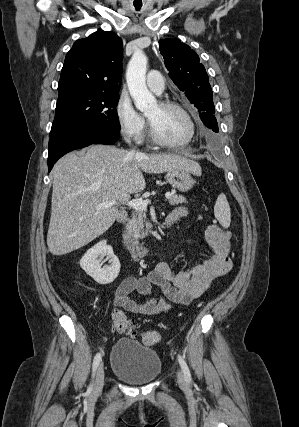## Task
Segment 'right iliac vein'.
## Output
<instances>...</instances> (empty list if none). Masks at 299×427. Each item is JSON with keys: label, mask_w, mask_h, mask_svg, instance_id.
<instances>
[{"label": "right iliac vein", "mask_w": 299, "mask_h": 427, "mask_svg": "<svg viewBox=\"0 0 299 427\" xmlns=\"http://www.w3.org/2000/svg\"><path fill=\"white\" fill-rule=\"evenodd\" d=\"M104 377H105L104 364L101 363L96 373V379L94 383V392H99L102 390L104 385Z\"/></svg>", "instance_id": "right-iliac-vein-1"}]
</instances>
